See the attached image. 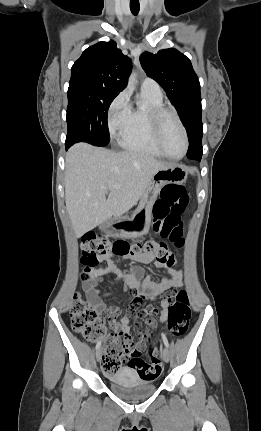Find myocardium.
Here are the masks:
<instances>
[{
    "label": "myocardium",
    "mask_w": 261,
    "mask_h": 431,
    "mask_svg": "<svg viewBox=\"0 0 261 431\" xmlns=\"http://www.w3.org/2000/svg\"><path fill=\"white\" fill-rule=\"evenodd\" d=\"M168 116H172L174 118V120L178 124V126L182 132L183 138H184V142H185L184 151H183L182 155H180L179 157L170 156L166 152V150L162 144V139H161L162 127H163L164 120ZM148 119H149V123L151 126V131H152V136H153L154 142H155L156 146L158 147V149L160 150V152L170 160L178 161V160L183 159L185 157V155L187 154L188 149H189V138H188L186 128H185L182 120L180 119L178 113L172 108L154 107V108H150L148 110Z\"/></svg>",
    "instance_id": "f54148a6"
}]
</instances>
